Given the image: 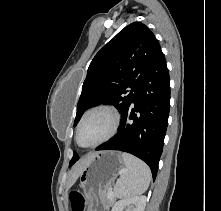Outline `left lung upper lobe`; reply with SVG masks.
Returning <instances> with one entry per match:
<instances>
[{"mask_svg": "<svg viewBox=\"0 0 221 211\" xmlns=\"http://www.w3.org/2000/svg\"><path fill=\"white\" fill-rule=\"evenodd\" d=\"M160 51L158 40L141 22H133L121 30L89 65L74 126L85 110L100 103L114 104L123 115ZM76 160L78 155L74 152L69 166Z\"/></svg>", "mask_w": 221, "mask_h": 211, "instance_id": "5c2ea615", "label": "left lung upper lobe"}]
</instances>
